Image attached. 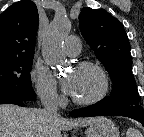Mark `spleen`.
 <instances>
[{"label": "spleen", "instance_id": "spleen-1", "mask_svg": "<svg viewBox=\"0 0 144 137\" xmlns=\"http://www.w3.org/2000/svg\"><path fill=\"white\" fill-rule=\"evenodd\" d=\"M126 137H142V134L137 129L130 127L127 130Z\"/></svg>", "mask_w": 144, "mask_h": 137}]
</instances>
